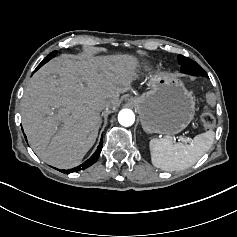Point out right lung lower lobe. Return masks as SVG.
<instances>
[{
  "label": "right lung lower lobe",
  "instance_id": "right-lung-lower-lobe-1",
  "mask_svg": "<svg viewBox=\"0 0 237 237\" xmlns=\"http://www.w3.org/2000/svg\"><path fill=\"white\" fill-rule=\"evenodd\" d=\"M25 138H26V136H25ZM102 145H103V137L101 138V141H100V144H99L97 150L95 151V153L87 161H85L83 164H81L80 166L75 167L73 169L59 170V171H61L62 173H65V174H69V173H72V172H78L80 170H84L87 167L91 166L99 158V155H100V152H101V149H102Z\"/></svg>",
  "mask_w": 237,
  "mask_h": 237
}]
</instances>
